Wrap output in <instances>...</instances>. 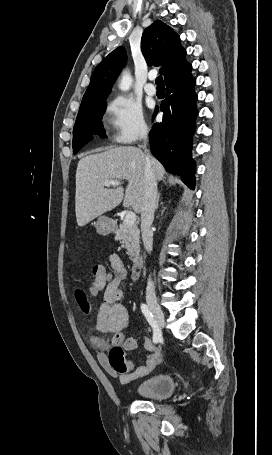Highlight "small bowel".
Returning <instances> with one entry per match:
<instances>
[{"instance_id": "1", "label": "small bowel", "mask_w": 272, "mask_h": 455, "mask_svg": "<svg viewBox=\"0 0 272 455\" xmlns=\"http://www.w3.org/2000/svg\"><path fill=\"white\" fill-rule=\"evenodd\" d=\"M109 265L113 271L104 288L103 302L96 311V329L101 333L112 334V343L121 345L125 351H132L138 346L136 337H125L124 331L129 324V313L121 302L123 291L121 282L126 278V269L119 255L112 253L109 256ZM75 299L84 313H89L90 302L87 293L78 288ZM144 348L148 352L146 359L139 365L128 362L124 371L114 369L104 352L97 353V360L112 376L117 377L121 383L130 384L146 377L161 362L159 349L148 339L144 338Z\"/></svg>"}]
</instances>
